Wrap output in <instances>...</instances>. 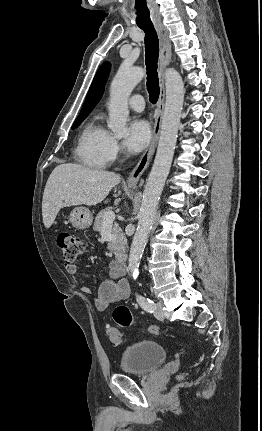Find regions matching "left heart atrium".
Segmentation results:
<instances>
[{"instance_id":"obj_1","label":"left heart atrium","mask_w":262,"mask_h":431,"mask_svg":"<svg viewBox=\"0 0 262 431\" xmlns=\"http://www.w3.org/2000/svg\"><path fill=\"white\" fill-rule=\"evenodd\" d=\"M150 140L149 124L140 119H134L129 123L124 140L125 147L131 153H138L145 148Z\"/></svg>"}]
</instances>
